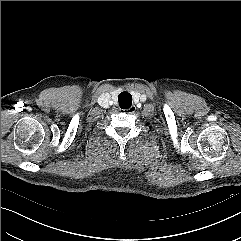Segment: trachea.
<instances>
[{
    "label": "trachea",
    "instance_id": "trachea-1",
    "mask_svg": "<svg viewBox=\"0 0 241 241\" xmlns=\"http://www.w3.org/2000/svg\"><path fill=\"white\" fill-rule=\"evenodd\" d=\"M118 101L122 109H128L132 105V96L128 92H123L118 96Z\"/></svg>",
    "mask_w": 241,
    "mask_h": 241
}]
</instances>
